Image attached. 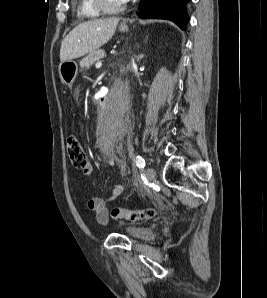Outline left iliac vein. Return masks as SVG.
Returning a JSON list of instances; mask_svg holds the SVG:
<instances>
[{
	"label": "left iliac vein",
	"instance_id": "left-iliac-vein-1",
	"mask_svg": "<svg viewBox=\"0 0 267 298\" xmlns=\"http://www.w3.org/2000/svg\"><path fill=\"white\" fill-rule=\"evenodd\" d=\"M145 176L148 181H152L156 176V172L152 167H147L145 171Z\"/></svg>",
	"mask_w": 267,
	"mask_h": 298
}]
</instances>
